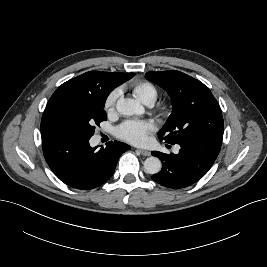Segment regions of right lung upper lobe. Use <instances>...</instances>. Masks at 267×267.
Listing matches in <instances>:
<instances>
[{"mask_svg": "<svg viewBox=\"0 0 267 267\" xmlns=\"http://www.w3.org/2000/svg\"><path fill=\"white\" fill-rule=\"evenodd\" d=\"M134 75V73L89 71L63 83L53 95L60 93L75 95L101 93L108 96L114 88L131 79Z\"/></svg>", "mask_w": 267, "mask_h": 267, "instance_id": "right-lung-upper-lobe-1", "label": "right lung upper lobe"}]
</instances>
